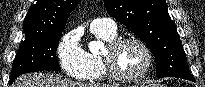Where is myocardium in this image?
Returning <instances> with one entry per match:
<instances>
[{
	"instance_id": "1",
	"label": "myocardium",
	"mask_w": 205,
	"mask_h": 87,
	"mask_svg": "<svg viewBox=\"0 0 205 87\" xmlns=\"http://www.w3.org/2000/svg\"><path fill=\"white\" fill-rule=\"evenodd\" d=\"M127 43H135L139 45L146 56V64L144 68L138 74L135 75L123 74L122 72H120L116 65L117 53ZM101 60L104 64L105 70L109 78L118 82L131 83L143 79L148 74V72L152 68L153 55L149 46L142 39L134 36H129L118 38L108 43L104 53L101 56Z\"/></svg>"
}]
</instances>
